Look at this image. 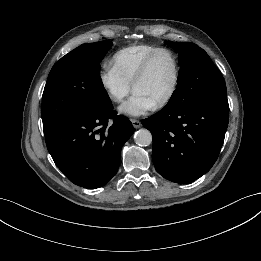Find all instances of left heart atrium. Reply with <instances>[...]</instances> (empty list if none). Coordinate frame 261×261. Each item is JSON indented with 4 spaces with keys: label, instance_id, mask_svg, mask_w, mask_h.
<instances>
[{
    "label": "left heart atrium",
    "instance_id": "obj_1",
    "mask_svg": "<svg viewBox=\"0 0 261 261\" xmlns=\"http://www.w3.org/2000/svg\"><path fill=\"white\" fill-rule=\"evenodd\" d=\"M155 104L140 92L134 91L131 98L121 107L120 112L130 116H140L153 109Z\"/></svg>",
    "mask_w": 261,
    "mask_h": 261
}]
</instances>
